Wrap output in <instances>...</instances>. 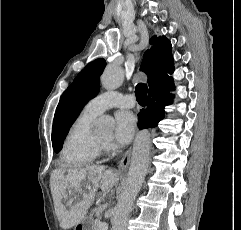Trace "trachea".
Returning <instances> with one entry per match:
<instances>
[{
	"mask_svg": "<svg viewBox=\"0 0 241 230\" xmlns=\"http://www.w3.org/2000/svg\"><path fill=\"white\" fill-rule=\"evenodd\" d=\"M147 92H148V88L146 84L144 83L137 84L135 89V94H136V99L138 103H145Z\"/></svg>",
	"mask_w": 241,
	"mask_h": 230,
	"instance_id": "1",
	"label": "trachea"
}]
</instances>
